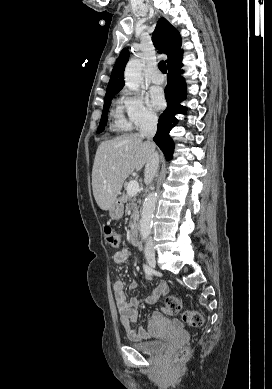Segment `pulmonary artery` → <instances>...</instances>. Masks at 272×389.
Wrapping results in <instances>:
<instances>
[{"label": "pulmonary artery", "instance_id": "pulmonary-artery-1", "mask_svg": "<svg viewBox=\"0 0 272 389\" xmlns=\"http://www.w3.org/2000/svg\"><path fill=\"white\" fill-rule=\"evenodd\" d=\"M151 81L153 84H156V85H160L164 82V77L163 75L158 72V71H155L151 74Z\"/></svg>", "mask_w": 272, "mask_h": 389}]
</instances>
